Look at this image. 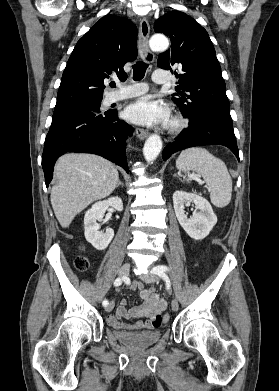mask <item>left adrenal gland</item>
<instances>
[{"label": "left adrenal gland", "instance_id": "obj_1", "mask_svg": "<svg viewBox=\"0 0 279 391\" xmlns=\"http://www.w3.org/2000/svg\"><path fill=\"white\" fill-rule=\"evenodd\" d=\"M174 177H177V175H176V174H174Z\"/></svg>", "mask_w": 279, "mask_h": 391}]
</instances>
